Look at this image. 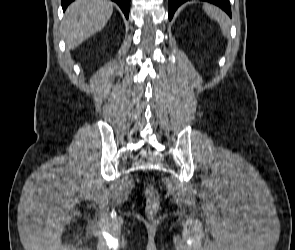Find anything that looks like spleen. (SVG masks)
<instances>
[{
	"label": "spleen",
	"mask_w": 295,
	"mask_h": 250,
	"mask_svg": "<svg viewBox=\"0 0 295 250\" xmlns=\"http://www.w3.org/2000/svg\"><path fill=\"white\" fill-rule=\"evenodd\" d=\"M203 8L207 15L219 23L222 33L227 36L230 29V22L227 15L218 7L210 4H204Z\"/></svg>",
	"instance_id": "3e777b00"
}]
</instances>
